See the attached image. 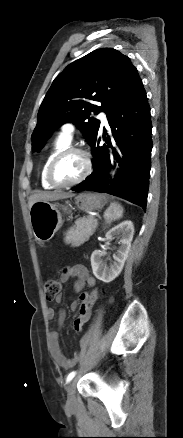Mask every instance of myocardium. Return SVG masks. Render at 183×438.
Returning a JSON list of instances; mask_svg holds the SVG:
<instances>
[{
  "label": "myocardium",
  "instance_id": "myocardium-1",
  "mask_svg": "<svg viewBox=\"0 0 183 438\" xmlns=\"http://www.w3.org/2000/svg\"><path fill=\"white\" fill-rule=\"evenodd\" d=\"M79 154L83 157L84 159V168L83 171L81 173V175L76 178L75 180H73L72 182L69 183H58L54 180L53 178V171L54 168L57 164V162L65 157L66 155L69 154ZM93 169V161L91 158L90 153L81 147H76V146H68L64 149H62L61 151H59L50 161L48 167H47V171H46V178L47 181L54 187V188H69L75 185L80 184L81 182L85 181L86 178L91 174Z\"/></svg>",
  "mask_w": 183,
  "mask_h": 438
}]
</instances>
